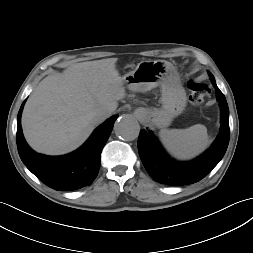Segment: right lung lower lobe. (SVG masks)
Returning a JSON list of instances; mask_svg holds the SVG:
<instances>
[{"label":"right lung lower lobe","mask_w":253,"mask_h":253,"mask_svg":"<svg viewBox=\"0 0 253 253\" xmlns=\"http://www.w3.org/2000/svg\"><path fill=\"white\" fill-rule=\"evenodd\" d=\"M25 101L17 116L16 134L17 148L23 163L38 179L55 190L71 191L90 185L98 175L101 152L118 115L96 128L76 151L64 156H45L34 152L24 139L21 113Z\"/></svg>","instance_id":"right-lung-lower-lobe-1"}]
</instances>
